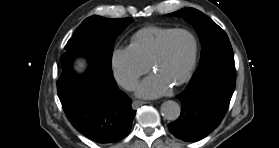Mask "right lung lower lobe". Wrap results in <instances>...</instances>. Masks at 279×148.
Listing matches in <instances>:
<instances>
[{
    "mask_svg": "<svg viewBox=\"0 0 279 148\" xmlns=\"http://www.w3.org/2000/svg\"><path fill=\"white\" fill-rule=\"evenodd\" d=\"M65 49L57 93L68 120L76 130L97 143L122 140L136 114L131 100L119 90L112 70L106 68L96 49L83 43ZM77 54L88 56L90 62L82 76L71 68V60Z\"/></svg>",
    "mask_w": 279,
    "mask_h": 148,
    "instance_id": "obj_1",
    "label": "right lung lower lobe"
}]
</instances>
